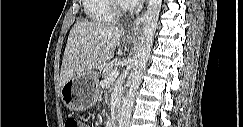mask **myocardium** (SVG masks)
Here are the masks:
<instances>
[{"mask_svg": "<svg viewBox=\"0 0 243 127\" xmlns=\"http://www.w3.org/2000/svg\"><path fill=\"white\" fill-rule=\"evenodd\" d=\"M132 7L128 3L122 0H114L113 10L118 16L127 15L131 11Z\"/></svg>", "mask_w": 243, "mask_h": 127, "instance_id": "1", "label": "myocardium"}]
</instances>
